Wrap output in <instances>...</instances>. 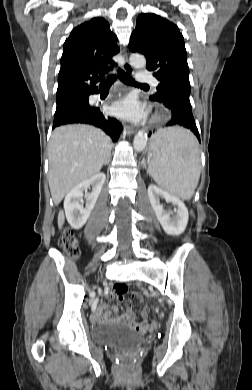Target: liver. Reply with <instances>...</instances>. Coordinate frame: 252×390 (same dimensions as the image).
<instances>
[{
    "label": "liver",
    "instance_id": "1",
    "mask_svg": "<svg viewBox=\"0 0 252 390\" xmlns=\"http://www.w3.org/2000/svg\"><path fill=\"white\" fill-rule=\"evenodd\" d=\"M112 141L102 130L89 125L56 128L49 142L48 181L55 205L78 184L96 175L110 158ZM64 223L58 216V227Z\"/></svg>",
    "mask_w": 252,
    "mask_h": 390
}]
</instances>
